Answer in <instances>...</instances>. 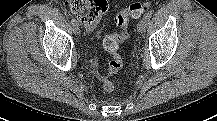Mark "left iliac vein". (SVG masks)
<instances>
[{"label":"left iliac vein","instance_id":"4c4485c4","mask_svg":"<svg viewBox=\"0 0 217 121\" xmlns=\"http://www.w3.org/2000/svg\"><path fill=\"white\" fill-rule=\"evenodd\" d=\"M147 26V21L145 19H141L137 24V30L139 32H144Z\"/></svg>","mask_w":217,"mask_h":121}]
</instances>
